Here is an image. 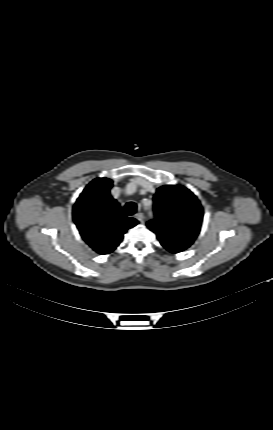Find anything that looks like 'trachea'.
I'll return each instance as SVG.
<instances>
[{
	"instance_id": "obj_1",
	"label": "trachea",
	"mask_w": 273,
	"mask_h": 430,
	"mask_svg": "<svg viewBox=\"0 0 273 430\" xmlns=\"http://www.w3.org/2000/svg\"><path fill=\"white\" fill-rule=\"evenodd\" d=\"M126 214L127 215H133L137 211V205L134 202H129L125 206Z\"/></svg>"
}]
</instances>
